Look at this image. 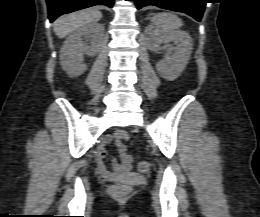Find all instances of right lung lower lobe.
Segmentation results:
<instances>
[{
  "instance_id": "1",
  "label": "right lung lower lobe",
  "mask_w": 260,
  "mask_h": 217,
  "mask_svg": "<svg viewBox=\"0 0 260 217\" xmlns=\"http://www.w3.org/2000/svg\"><path fill=\"white\" fill-rule=\"evenodd\" d=\"M50 22L58 16L94 5H106L112 7L114 0H46Z\"/></svg>"
}]
</instances>
